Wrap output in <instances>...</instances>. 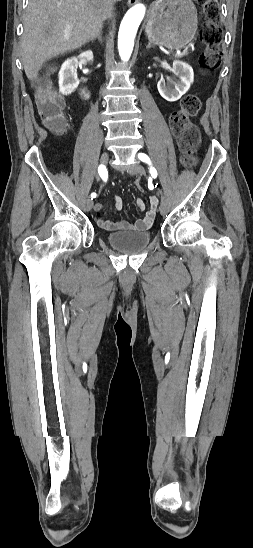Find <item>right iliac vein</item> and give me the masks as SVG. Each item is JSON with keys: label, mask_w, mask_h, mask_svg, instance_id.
I'll use <instances>...</instances> for the list:
<instances>
[{"label": "right iliac vein", "mask_w": 253, "mask_h": 548, "mask_svg": "<svg viewBox=\"0 0 253 548\" xmlns=\"http://www.w3.org/2000/svg\"><path fill=\"white\" fill-rule=\"evenodd\" d=\"M108 159H109V153L107 151L103 152V154L101 155V158H100V162L102 164H105V163H107ZM92 207H93V201L90 198H88L87 201H86L87 211H90L92 209Z\"/></svg>", "instance_id": "obj_1"}]
</instances>
